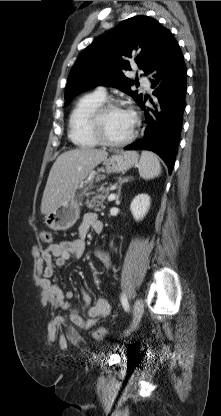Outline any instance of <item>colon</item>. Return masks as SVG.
<instances>
[{
	"mask_svg": "<svg viewBox=\"0 0 221 416\" xmlns=\"http://www.w3.org/2000/svg\"><path fill=\"white\" fill-rule=\"evenodd\" d=\"M42 241L46 244L52 242V234L48 230H44L41 234ZM109 332L104 328L96 329L92 332V336L97 340H103L108 336Z\"/></svg>",
	"mask_w": 221,
	"mask_h": 416,
	"instance_id": "1",
	"label": "colon"
}]
</instances>
